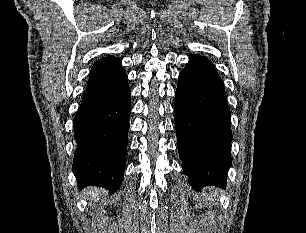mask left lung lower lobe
<instances>
[{
	"instance_id": "obj_1",
	"label": "left lung lower lobe",
	"mask_w": 306,
	"mask_h": 233,
	"mask_svg": "<svg viewBox=\"0 0 306 233\" xmlns=\"http://www.w3.org/2000/svg\"><path fill=\"white\" fill-rule=\"evenodd\" d=\"M175 129L191 186L225 187L231 167L230 110L222 80L205 57L191 55L175 94Z\"/></svg>"
}]
</instances>
